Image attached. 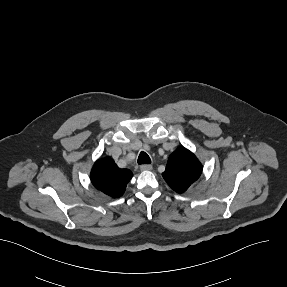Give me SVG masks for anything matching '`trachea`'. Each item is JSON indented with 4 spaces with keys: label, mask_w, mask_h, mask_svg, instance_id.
<instances>
[{
    "label": "trachea",
    "mask_w": 287,
    "mask_h": 287,
    "mask_svg": "<svg viewBox=\"0 0 287 287\" xmlns=\"http://www.w3.org/2000/svg\"><path fill=\"white\" fill-rule=\"evenodd\" d=\"M150 163H151L150 157L148 156L147 153L142 151L138 157V164H150Z\"/></svg>",
    "instance_id": "3493384b"
}]
</instances>
